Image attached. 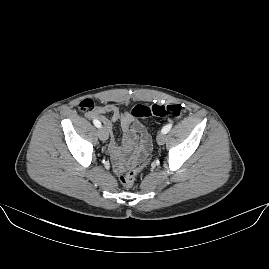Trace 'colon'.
Listing matches in <instances>:
<instances>
[{"label":"colon","instance_id":"5ec220e1","mask_svg":"<svg viewBox=\"0 0 269 269\" xmlns=\"http://www.w3.org/2000/svg\"><path fill=\"white\" fill-rule=\"evenodd\" d=\"M93 102L91 100H83L80 103V109L84 111H90L93 109ZM185 113L184 107L180 104H153V105H145V104H137L131 109V116L135 119H143L148 117H158L162 119L168 118H179L183 116ZM140 130L139 127H137ZM145 145L147 148H150L149 139L145 140ZM148 163L147 158H143L141 160L140 168L130 167L127 170L123 171L120 176V182L124 187H131L137 175L143 167H145Z\"/></svg>","mask_w":269,"mask_h":269}]
</instances>
